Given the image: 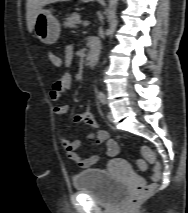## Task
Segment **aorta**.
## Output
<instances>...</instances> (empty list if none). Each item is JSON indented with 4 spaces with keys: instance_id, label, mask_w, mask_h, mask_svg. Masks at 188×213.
I'll use <instances>...</instances> for the list:
<instances>
[{
    "instance_id": "aorta-1",
    "label": "aorta",
    "mask_w": 188,
    "mask_h": 213,
    "mask_svg": "<svg viewBox=\"0 0 188 213\" xmlns=\"http://www.w3.org/2000/svg\"><path fill=\"white\" fill-rule=\"evenodd\" d=\"M108 8H109V14L111 15V17H113L117 9V0H111ZM99 96H103V94L99 92Z\"/></svg>"
}]
</instances>
